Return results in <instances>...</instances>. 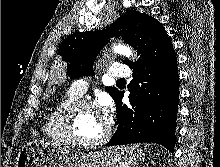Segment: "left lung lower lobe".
Wrapping results in <instances>:
<instances>
[{
	"label": "left lung lower lobe",
	"instance_id": "1",
	"mask_svg": "<svg viewBox=\"0 0 220 167\" xmlns=\"http://www.w3.org/2000/svg\"><path fill=\"white\" fill-rule=\"evenodd\" d=\"M131 69L130 104H122L124 92H120L115 99L118 128L106 146L154 142L173 152L179 103L174 49Z\"/></svg>",
	"mask_w": 220,
	"mask_h": 167
}]
</instances>
